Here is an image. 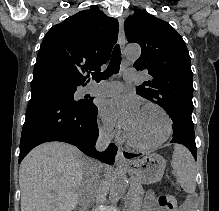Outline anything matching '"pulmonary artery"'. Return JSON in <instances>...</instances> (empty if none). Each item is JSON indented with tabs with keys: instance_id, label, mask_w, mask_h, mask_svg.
<instances>
[{
	"instance_id": "obj_1",
	"label": "pulmonary artery",
	"mask_w": 219,
	"mask_h": 211,
	"mask_svg": "<svg viewBox=\"0 0 219 211\" xmlns=\"http://www.w3.org/2000/svg\"><path fill=\"white\" fill-rule=\"evenodd\" d=\"M137 69H125V73L123 75L124 80L128 82H132L134 80H138V75H131L137 74ZM123 88V85L119 81H102L97 84H93L87 86L81 90L82 94H90L93 96H112L118 92H120Z\"/></svg>"
}]
</instances>
